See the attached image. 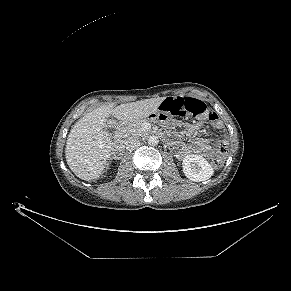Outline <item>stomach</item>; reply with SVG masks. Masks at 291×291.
Here are the masks:
<instances>
[{
  "instance_id": "obj_1",
  "label": "stomach",
  "mask_w": 291,
  "mask_h": 291,
  "mask_svg": "<svg viewBox=\"0 0 291 291\" xmlns=\"http://www.w3.org/2000/svg\"><path fill=\"white\" fill-rule=\"evenodd\" d=\"M148 119L152 122L164 123L165 121H167L169 119V115H167L166 113H163L161 111H156V112L150 114Z\"/></svg>"
}]
</instances>
